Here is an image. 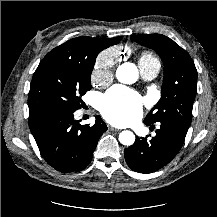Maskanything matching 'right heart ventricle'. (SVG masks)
Segmentation results:
<instances>
[{"label": "right heart ventricle", "instance_id": "1", "mask_svg": "<svg viewBox=\"0 0 217 217\" xmlns=\"http://www.w3.org/2000/svg\"><path fill=\"white\" fill-rule=\"evenodd\" d=\"M150 62H158V60L150 52H143L139 56V60H138L139 65L145 64V63H150Z\"/></svg>", "mask_w": 217, "mask_h": 217}]
</instances>
